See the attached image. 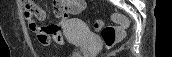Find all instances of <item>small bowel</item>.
I'll use <instances>...</instances> for the list:
<instances>
[{"mask_svg":"<svg viewBox=\"0 0 172 57\" xmlns=\"http://www.w3.org/2000/svg\"><path fill=\"white\" fill-rule=\"evenodd\" d=\"M28 4L37 7L34 1L25 0V9L28 7ZM53 5L55 8L54 19L46 25H39L36 22V20H45L46 12L43 9L37 7L39 12L34 16L25 14L30 30L36 35L38 41L45 46H51L55 43L63 45L65 43L62 30L66 27V19L69 14L79 13L84 7V1L56 0ZM55 19H60V22L56 23Z\"/></svg>","mask_w":172,"mask_h":57,"instance_id":"1","label":"small bowel"}]
</instances>
